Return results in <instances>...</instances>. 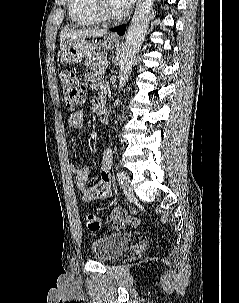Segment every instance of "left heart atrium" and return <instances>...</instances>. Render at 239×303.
I'll use <instances>...</instances> for the list:
<instances>
[{
  "label": "left heart atrium",
  "instance_id": "obj_1",
  "mask_svg": "<svg viewBox=\"0 0 239 303\" xmlns=\"http://www.w3.org/2000/svg\"><path fill=\"white\" fill-rule=\"evenodd\" d=\"M113 2L123 12L131 6L133 0H113Z\"/></svg>",
  "mask_w": 239,
  "mask_h": 303
}]
</instances>
